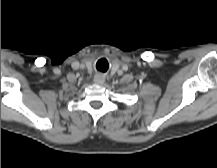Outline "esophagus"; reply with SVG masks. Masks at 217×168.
Wrapping results in <instances>:
<instances>
[{"mask_svg": "<svg viewBox=\"0 0 217 168\" xmlns=\"http://www.w3.org/2000/svg\"><path fill=\"white\" fill-rule=\"evenodd\" d=\"M93 81L95 84L102 85L105 82V76L102 73H97Z\"/></svg>", "mask_w": 217, "mask_h": 168, "instance_id": "esophagus-1", "label": "esophagus"}]
</instances>
